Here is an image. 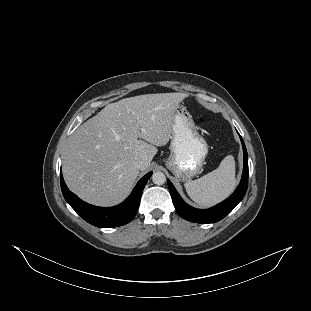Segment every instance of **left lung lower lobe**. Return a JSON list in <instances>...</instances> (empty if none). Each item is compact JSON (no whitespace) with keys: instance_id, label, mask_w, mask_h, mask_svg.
<instances>
[{"instance_id":"left-lung-lower-lobe-1","label":"left lung lower lobe","mask_w":311,"mask_h":311,"mask_svg":"<svg viewBox=\"0 0 311 311\" xmlns=\"http://www.w3.org/2000/svg\"><path fill=\"white\" fill-rule=\"evenodd\" d=\"M240 139L244 153L242 178L234 193L220 204L206 210L195 209L183 201L170 180H167L173 204L182 218L196 223H214L223 219L243 199L248 187V156L241 136Z\"/></svg>"}]
</instances>
